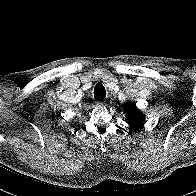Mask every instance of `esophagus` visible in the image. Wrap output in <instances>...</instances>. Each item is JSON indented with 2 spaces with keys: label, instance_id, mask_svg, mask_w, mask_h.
Returning a JSON list of instances; mask_svg holds the SVG:
<instances>
[{
  "label": "esophagus",
  "instance_id": "esophagus-1",
  "mask_svg": "<svg viewBox=\"0 0 196 196\" xmlns=\"http://www.w3.org/2000/svg\"><path fill=\"white\" fill-rule=\"evenodd\" d=\"M97 104H99V105H104L105 103H104L103 100H99V101H97Z\"/></svg>",
  "mask_w": 196,
  "mask_h": 196
}]
</instances>
